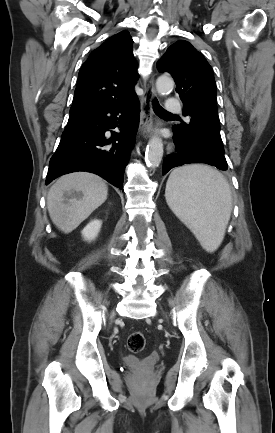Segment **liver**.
Segmentation results:
<instances>
[{
    "label": "liver",
    "mask_w": 275,
    "mask_h": 433,
    "mask_svg": "<svg viewBox=\"0 0 275 433\" xmlns=\"http://www.w3.org/2000/svg\"><path fill=\"white\" fill-rule=\"evenodd\" d=\"M107 195V185L95 174L64 175L51 186L47 195L50 218L59 230L68 234L101 206Z\"/></svg>",
    "instance_id": "6515ba94"
}]
</instances>
